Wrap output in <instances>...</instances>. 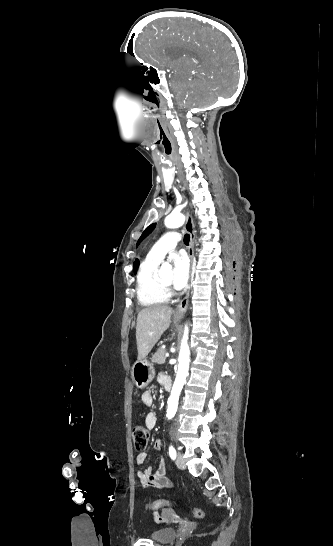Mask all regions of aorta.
I'll use <instances>...</instances> for the list:
<instances>
[{
  "mask_svg": "<svg viewBox=\"0 0 333 546\" xmlns=\"http://www.w3.org/2000/svg\"><path fill=\"white\" fill-rule=\"evenodd\" d=\"M185 222V216L181 213H171L168 215L165 219V226L168 228H178L182 226ZM172 273V266L168 262H164L161 265V268L159 270V275L164 276L167 274ZM188 333L189 329L187 326H185L183 340L181 343V349L179 352V364H178V371L177 375L171 390L170 397L168 399V407H167V417L168 419H172L177 411L178 407V401L179 396L181 393V390L183 388V385L186 381V378L188 376L189 371V362H190V349L188 346Z\"/></svg>",
  "mask_w": 333,
  "mask_h": 546,
  "instance_id": "762f6f07",
  "label": "aorta"
}]
</instances>
